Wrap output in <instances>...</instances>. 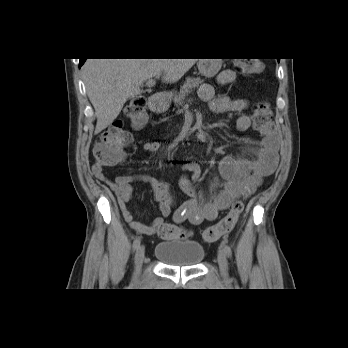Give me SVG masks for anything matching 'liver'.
<instances>
[{"label":"liver","instance_id":"6515ba94","mask_svg":"<svg viewBox=\"0 0 348 348\" xmlns=\"http://www.w3.org/2000/svg\"><path fill=\"white\" fill-rule=\"evenodd\" d=\"M199 59H87L82 68L87 95L95 109V134L107 128L129 98L140 95L152 77L175 83Z\"/></svg>","mask_w":348,"mask_h":348}]
</instances>
